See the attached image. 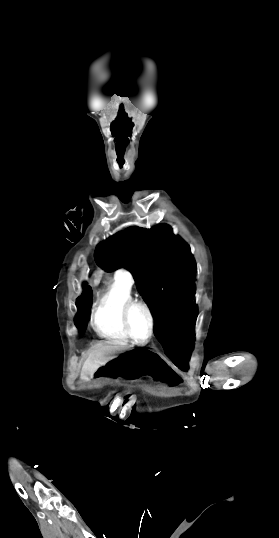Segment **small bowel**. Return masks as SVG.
Listing matches in <instances>:
<instances>
[{"instance_id":"c3829d8e","label":"small bowel","mask_w":279,"mask_h":538,"mask_svg":"<svg viewBox=\"0 0 279 538\" xmlns=\"http://www.w3.org/2000/svg\"><path fill=\"white\" fill-rule=\"evenodd\" d=\"M152 378L155 382L168 387H175L180 384L178 376L170 369L155 372Z\"/></svg>"}]
</instances>
